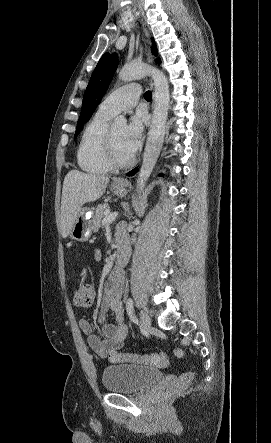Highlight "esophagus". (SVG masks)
I'll list each match as a JSON object with an SVG mask.
<instances>
[{
	"instance_id": "34e87169",
	"label": "esophagus",
	"mask_w": 271,
	"mask_h": 443,
	"mask_svg": "<svg viewBox=\"0 0 271 443\" xmlns=\"http://www.w3.org/2000/svg\"><path fill=\"white\" fill-rule=\"evenodd\" d=\"M144 44H145V52H146V57H147V61L149 63L153 62V56L150 50V40H149V33L148 31L144 28ZM149 85L153 88L154 84H153V80L151 78H149ZM155 101V94L153 93V102H152V109L154 108V102ZM116 183H120V184H127V182H123L121 180H116Z\"/></svg>"
}]
</instances>
